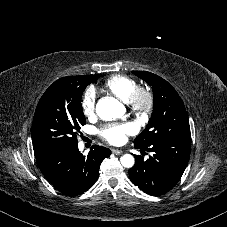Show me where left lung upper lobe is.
Here are the masks:
<instances>
[{
    "label": "left lung upper lobe",
    "instance_id": "5c2ea615",
    "mask_svg": "<svg viewBox=\"0 0 227 227\" xmlns=\"http://www.w3.org/2000/svg\"><path fill=\"white\" fill-rule=\"evenodd\" d=\"M147 82L153 90V113L145 130L134 140L135 145L179 138H190L188 116L176 90L161 77L146 71H132Z\"/></svg>",
    "mask_w": 227,
    "mask_h": 227
}]
</instances>
